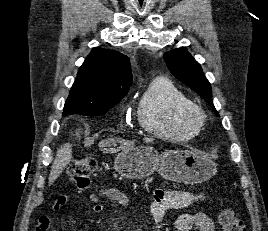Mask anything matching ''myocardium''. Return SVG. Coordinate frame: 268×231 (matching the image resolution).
I'll return each instance as SVG.
<instances>
[{"label":"myocardium","mask_w":268,"mask_h":231,"mask_svg":"<svg viewBox=\"0 0 268 231\" xmlns=\"http://www.w3.org/2000/svg\"><path fill=\"white\" fill-rule=\"evenodd\" d=\"M184 115L190 124L198 126H202L206 118L203 108L192 102L186 106Z\"/></svg>","instance_id":"myocardium-1"}]
</instances>
